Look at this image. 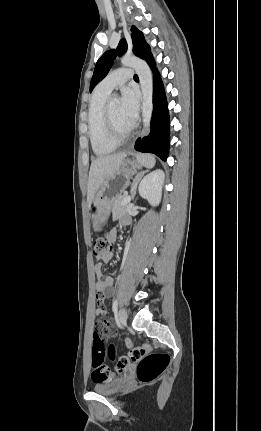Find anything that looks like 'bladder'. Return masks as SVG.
<instances>
[{
  "instance_id": "bladder-1",
  "label": "bladder",
  "mask_w": 261,
  "mask_h": 431,
  "mask_svg": "<svg viewBox=\"0 0 261 431\" xmlns=\"http://www.w3.org/2000/svg\"><path fill=\"white\" fill-rule=\"evenodd\" d=\"M125 384L124 377H116L107 380L97 381L93 390L102 395H112L118 392Z\"/></svg>"
}]
</instances>
